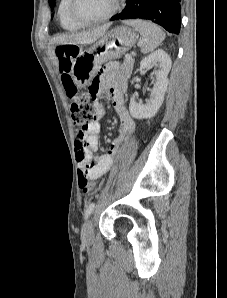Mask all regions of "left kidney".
<instances>
[{"label":"left kidney","instance_id":"obj_1","mask_svg":"<svg viewBox=\"0 0 227 298\" xmlns=\"http://www.w3.org/2000/svg\"><path fill=\"white\" fill-rule=\"evenodd\" d=\"M151 65H155L159 69L154 86L150 91V98L145 104L137 103L134 97H131L130 100V114L136 119L153 117L164 101L168 86V74L172 65L171 58L164 50L158 49L140 62V70H144Z\"/></svg>","mask_w":227,"mask_h":298}]
</instances>
